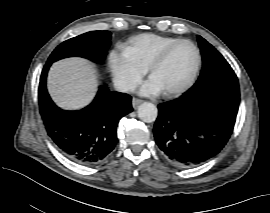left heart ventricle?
<instances>
[{"instance_id": "1", "label": "left heart ventricle", "mask_w": 270, "mask_h": 213, "mask_svg": "<svg viewBox=\"0 0 270 213\" xmlns=\"http://www.w3.org/2000/svg\"><path fill=\"white\" fill-rule=\"evenodd\" d=\"M196 65V53L192 46L182 44L175 47L162 64L154 71L152 80L161 91L176 89L184 85Z\"/></svg>"}]
</instances>
